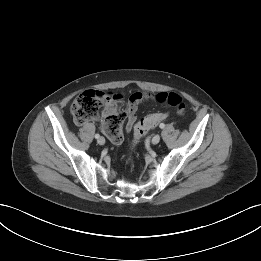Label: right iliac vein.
I'll return each instance as SVG.
<instances>
[{
	"label": "right iliac vein",
	"instance_id": "63e3f726",
	"mask_svg": "<svg viewBox=\"0 0 261 261\" xmlns=\"http://www.w3.org/2000/svg\"><path fill=\"white\" fill-rule=\"evenodd\" d=\"M99 145H104L105 144V138L104 137H99L97 140Z\"/></svg>",
	"mask_w": 261,
	"mask_h": 261
}]
</instances>
